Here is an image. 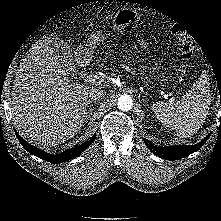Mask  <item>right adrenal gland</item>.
<instances>
[{"mask_svg":"<svg viewBox=\"0 0 221 221\" xmlns=\"http://www.w3.org/2000/svg\"><path fill=\"white\" fill-rule=\"evenodd\" d=\"M93 104H96V101L88 100L87 105H86V108L90 107V110H89V111L86 110L85 119H87V120H88V118L91 117V115H92V113H93V106H94ZM87 114H88V115H87Z\"/></svg>","mask_w":221,"mask_h":221,"instance_id":"right-adrenal-gland-1","label":"right adrenal gland"}]
</instances>
